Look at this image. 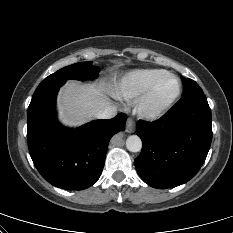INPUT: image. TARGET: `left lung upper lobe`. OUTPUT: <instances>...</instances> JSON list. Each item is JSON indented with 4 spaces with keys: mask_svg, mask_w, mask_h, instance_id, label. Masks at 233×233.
<instances>
[{
    "mask_svg": "<svg viewBox=\"0 0 233 233\" xmlns=\"http://www.w3.org/2000/svg\"><path fill=\"white\" fill-rule=\"evenodd\" d=\"M183 82V95L189 96L194 94H203L202 89L192 79H182Z\"/></svg>",
    "mask_w": 233,
    "mask_h": 233,
    "instance_id": "1",
    "label": "left lung upper lobe"
}]
</instances>
